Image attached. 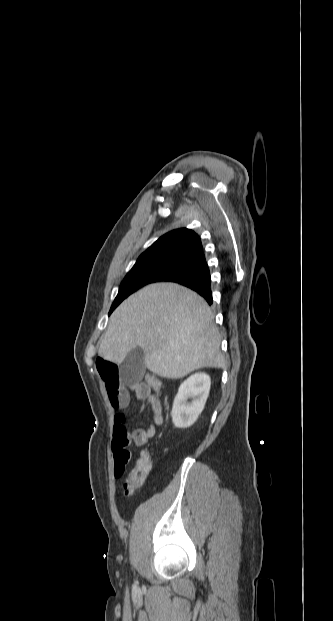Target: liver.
<instances>
[{
    "mask_svg": "<svg viewBox=\"0 0 333 621\" xmlns=\"http://www.w3.org/2000/svg\"><path fill=\"white\" fill-rule=\"evenodd\" d=\"M136 347L143 350L146 367L164 378L225 367L210 307L174 283L151 284L127 298L110 317L99 356L121 364Z\"/></svg>",
    "mask_w": 333,
    "mask_h": 621,
    "instance_id": "1",
    "label": "liver"
}]
</instances>
